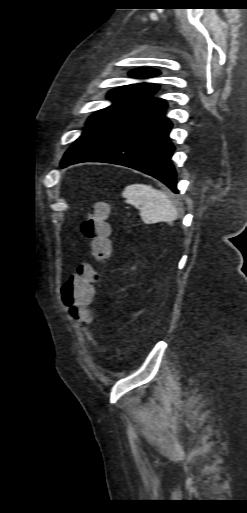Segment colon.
<instances>
[{
    "instance_id": "5ec220e1",
    "label": "colon",
    "mask_w": 247,
    "mask_h": 513,
    "mask_svg": "<svg viewBox=\"0 0 247 513\" xmlns=\"http://www.w3.org/2000/svg\"><path fill=\"white\" fill-rule=\"evenodd\" d=\"M110 212L106 204L100 203L89 210L81 224V231L89 241V252L96 262H103L110 253ZM99 273L92 263L79 265L76 272L69 276L61 287V300L70 315L82 325L92 321L87 308L91 301Z\"/></svg>"
}]
</instances>
